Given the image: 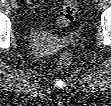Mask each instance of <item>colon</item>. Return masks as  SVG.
I'll return each mask as SVG.
<instances>
[{
    "mask_svg": "<svg viewBox=\"0 0 111 106\" xmlns=\"http://www.w3.org/2000/svg\"><path fill=\"white\" fill-rule=\"evenodd\" d=\"M77 11V2L74 0L65 1L63 8L57 19V26L60 28L68 26L73 22ZM72 62V55L70 52H63L58 57V63L62 66H68Z\"/></svg>",
    "mask_w": 111,
    "mask_h": 106,
    "instance_id": "colon-1",
    "label": "colon"
}]
</instances>
